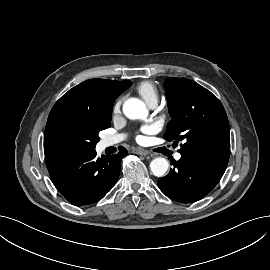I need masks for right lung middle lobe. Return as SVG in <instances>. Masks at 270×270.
<instances>
[{
    "label": "right lung middle lobe",
    "mask_w": 270,
    "mask_h": 270,
    "mask_svg": "<svg viewBox=\"0 0 270 270\" xmlns=\"http://www.w3.org/2000/svg\"><path fill=\"white\" fill-rule=\"evenodd\" d=\"M111 126V116L63 114L46 125L44 153L81 154L95 150L100 131Z\"/></svg>",
    "instance_id": "1"
}]
</instances>
